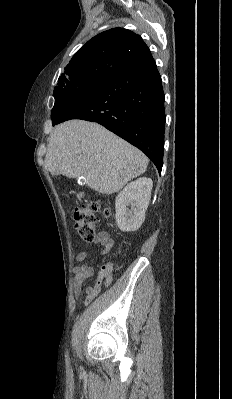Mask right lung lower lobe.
<instances>
[{
	"label": "right lung lower lobe",
	"mask_w": 232,
	"mask_h": 399,
	"mask_svg": "<svg viewBox=\"0 0 232 399\" xmlns=\"http://www.w3.org/2000/svg\"><path fill=\"white\" fill-rule=\"evenodd\" d=\"M70 119L103 125L139 148L161 173L166 115L162 80L152 56L68 102L53 126Z\"/></svg>",
	"instance_id": "98d812e1"
}]
</instances>
